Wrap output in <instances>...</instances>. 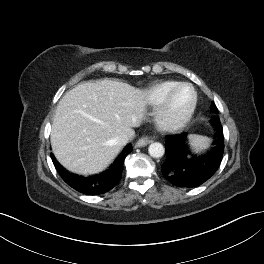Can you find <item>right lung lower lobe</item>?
I'll list each match as a JSON object with an SVG mask.
<instances>
[{"label": "right lung lower lobe", "instance_id": "1", "mask_svg": "<svg viewBox=\"0 0 264 264\" xmlns=\"http://www.w3.org/2000/svg\"><path fill=\"white\" fill-rule=\"evenodd\" d=\"M132 150V145L129 144L108 170L91 177L73 175L56 161L53 154L51 158L60 176L70 187L83 194L98 195L111 190L120 181L124 159Z\"/></svg>", "mask_w": 264, "mask_h": 264}]
</instances>
